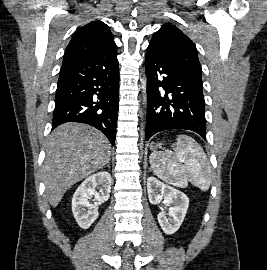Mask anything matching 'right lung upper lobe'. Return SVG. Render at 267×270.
<instances>
[{
  "label": "right lung upper lobe",
  "mask_w": 267,
  "mask_h": 270,
  "mask_svg": "<svg viewBox=\"0 0 267 270\" xmlns=\"http://www.w3.org/2000/svg\"><path fill=\"white\" fill-rule=\"evenodd\" d=\"M116 47L109 27L101 21H93L81 27L68 44L63 64L84 59L93 54Z\"/></svg>",
  "instance_id": "cb5924a9"
}]
</instances>
